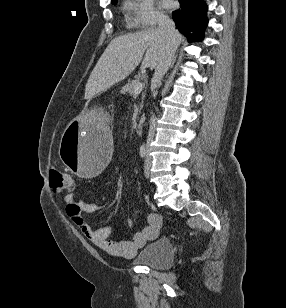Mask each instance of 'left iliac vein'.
<instances>
[{
	"label": "left iliac vein",
	"mask_w": 286,
	"mask_h": 308,
	"mask_svg": "<svg viewBox=\"0 0 286 308\" xmlns=\"http://www.w3.org/2000/svg\"><path fill=\"white\" fill-rule=\"evenodd\" d=\"M150 166H151V158L149 156V150H147V158L144 166V172L146 177H149L150 175Z\"/></svg>",
	"instance_id": "4c4485c4"
}]
</instances>
